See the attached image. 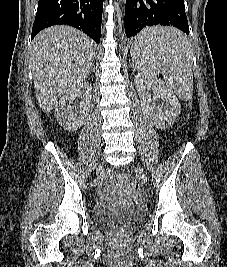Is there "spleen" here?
<instances>
[{"instance_id": "spleen-1", "label": "spleen", "mask_w": 227, "mask_h": 267, "mask_svg": "<svg viewBox=\"0 0 227 267\" xmlns=\"http://www.w3.org/2000/svg\"><path fill=\"white\" fill-rule=\"evenodd\" d=\"M130 63H136L142 77H164L180 98L189 100L193 91L190 43L179 30L151 27L131 38Z\"/></svg>"}]
</instances>
